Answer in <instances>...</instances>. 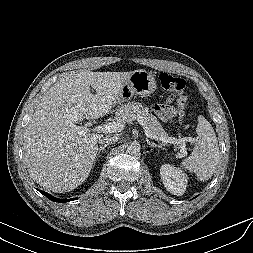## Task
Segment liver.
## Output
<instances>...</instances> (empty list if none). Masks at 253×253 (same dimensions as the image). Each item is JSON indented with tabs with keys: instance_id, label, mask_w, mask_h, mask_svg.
<instances>
[{
	"instance_id": "obj_1",
	"label": "liver",
	"mask_w": 253,
	"mask_h": 253,
	"mask_svg": "<svg viewBox=\"0 0 253 253\" xmlns=\"http://www.w3.org/2000/svg\"><path fill=\"white\" fill-rule=\"evenodd\" d=\"M131 74L82 70L65 75L50 87L24 132L25 162L34 181L62 193L88 178L103 135H79L76 123L106 115Z\"/></svg>"
}]
</instances>
